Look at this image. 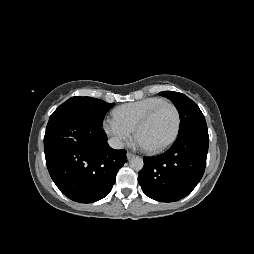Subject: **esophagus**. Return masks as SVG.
Listing matches in <instances>:
<instances>
[{
	"instance_id": "obj_1",
	"label": "esophagus",
	"mask_w": 254,
	"mask_h": 254,
	"mask_svg": "<svg viewBox=\"0 0 254 254\" xmlns=\"http://www.w3.org/2000/svg\"><path fill=\"white\" fill-rule=\"evenodd\" d=\"M126 156H127V159L130 160V159H132L135 155H134L133 153H131V152H127Z\"/></svg>"
}]
</instances>
